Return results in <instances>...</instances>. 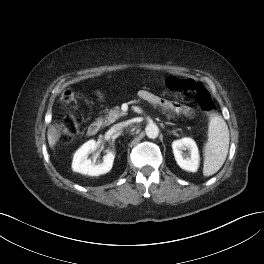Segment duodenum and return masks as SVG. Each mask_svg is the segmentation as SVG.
I'll return each mask as SVG.
<instances>
[{"label": "duodenum", "instance_id": "obj_1", "mask_svg": "<svg viewBox=\"0 0 264 264\" xmlns=\"http://www.w3.org/2000/svg\"><path fill=\"white\" fill-rule=\"evenodd\" d=\"M100 126H101L100 121H95L91 123L87 129V134L89 136H95L99 132Z\"/></svg>", "mask_w": 264, "mask_h": 264}]
</instances>
